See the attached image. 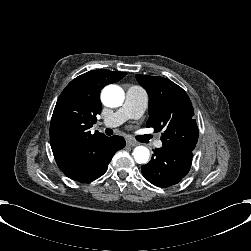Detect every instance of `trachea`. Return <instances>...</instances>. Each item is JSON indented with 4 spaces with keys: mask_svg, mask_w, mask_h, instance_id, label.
Instances as JSON below:
<instances>
[{
    "mask_svg": "<svg viewBox=\"0 0 251 251\" xmlns=\"http://www.w3.org/2000/svg\"><path fill=\"white\" fill-rule=\"evenodd\" d=\"M105 133L110 136L114 133V131L112 129L107 128V129H105ZM147 136L149 138H152V135H147Z\"/></svg>",
    "mask_w": 251,
    "mask_h": 251,
    "instance_id": "obj_1",
    "label": "trachea"
}]
</instances>
